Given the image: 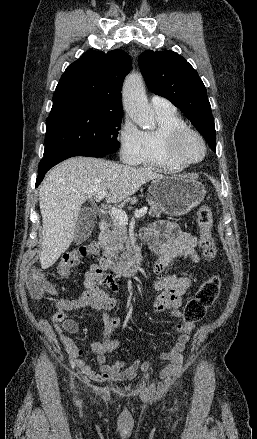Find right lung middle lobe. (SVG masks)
Masks as SVG:
<instances>
[{"mask_svg": "<svg viewBox=\"0 0 257 439\" xmlns=\"http://www.w3.org/2000/svg\"><path fill=\"white\" fill-rule=\"evenodd\" d=\"M122 115L77 110L48 117L44 157L69 151L116 152Z\"/></svg>", "mask_w": 257, "mask_h": 439, "instance_id": "1", "label": "right lung middle lobe"}]
</instances>
